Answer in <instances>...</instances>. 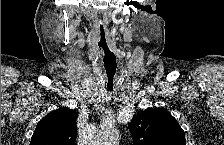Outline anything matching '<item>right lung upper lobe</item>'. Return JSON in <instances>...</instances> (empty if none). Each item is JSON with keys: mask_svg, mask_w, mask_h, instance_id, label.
<instances>
[{"mask_svg": "<svg viewBox=\"0 0 224 145\" xmlns=\"http://www.w3.org/2000/svg\"><path fill=\"white\" fill-rule=\"evenodd\" d=\"M77 115L69 108L52 111L38 122L30 145H74Z\"/></svg>", "mask_w": 224, "mask_h": 145, "instance_id": "1", "label": "right lung upper lobe"}]
</instances>
